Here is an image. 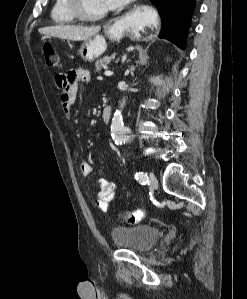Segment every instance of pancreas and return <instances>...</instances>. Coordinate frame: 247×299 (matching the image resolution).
Here are the masks:
<instances>
[{
	"label": "pancreas",
	"mask_w": 247,
	"mask_h": 299,
	"mask_svg": "<svg viewBox=\"0 0 247 299\" xmlns=\"http://www.w3.org/2000/svg\"><path fill=\"white\" fill-rule=\"evenodd\" d=\"M112 57L104 56L98 59L95 63V71L100 72L102 68L107 67V65L111 62Z\"/></svg>",
	"instance_id": "1"
}]
</instances>
